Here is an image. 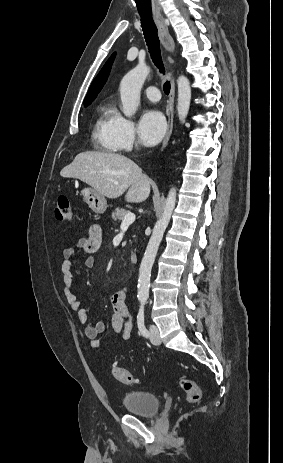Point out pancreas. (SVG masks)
I'll return each mask as SVG.
<instances>
[{
    "instance_id": "1",
    "label": "pancreas",
    "mask_w": 283,
    "mask_h": 463,
    "mask_svg": "<svg viewBox=\"0 0 283 463\" xmlns=\"http://www.w3.org/2000/svg\"><path fill=\"white\" fill-rule=\"evenodd\" d=\"M129 213L128 210L126 209H119L117 208L111 215L112 219L114 221H121L124 219V217Z\"/></svg>"
}]
</instances>
